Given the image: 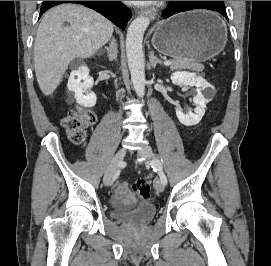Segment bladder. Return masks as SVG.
Here are the masks:
<instances>
[{
	"instance_id": "31cf9c89",
	"label": "bladder",
	"mask_w": 271,
	"mask_h": 266,
	"mask_svg": "<svg viewBox=\"0 0 271 266\" xmlns=\"http://www.w3.org/2000/svg\"><path fill=\"white\" fill-rule=\"evenodd\" d=\"M113 212L115 215L128 222L144 224L155 216L156 207L150 202H141L125 212H122L117 208H114Z\"/></svg>"
}]
</instances>
